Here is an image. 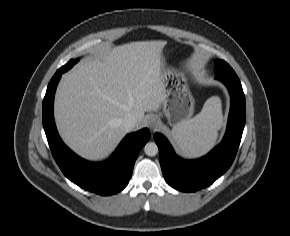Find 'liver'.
<instances>
[{
    "label": "liver",
    "instance_id": "6515ba94",
    "mask_svg": "<svg viewBox=\"0 0 290 236\" xmlns=\"http://www.w3.org/2000/svg\"><path fill=\"white\" fill-rule=\"evenodd\" d=\"M166 41H138L82 61L59 83L54 117L63 141L90 161L108 157L125 136L127 115L144 120L165 99L162 51Z\"/></svg>",
    "mask_w": 290,
    "mask_h": 236
}]
</instances>
